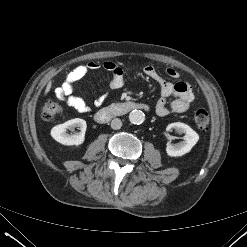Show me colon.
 <instances>
[{
    "label": "colon",
    "mask_w": 247,
    "mask_h": 247,
    "mask_svg": "<svg viewBox=\"0 0 247 247\" xmlns=\"http://www.w3.org/2000/svg\"><path fill=\"white\" fill-rule=\"evenodd\" d=\"M61 112V106L53 100H47L42 109L44 120H53ZM194 123L199 130H206L210 123L209 114L205 109L199 108L194 112Z\"/></svg>",
    "instance_id": "5ec220e1"
}]
</instances>
